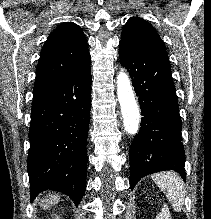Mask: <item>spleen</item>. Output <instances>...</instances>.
<instances>
[{
  "label": "spleen",
  "mask_w": 211,
  "mask_h": 219,
  "mask_svg": "<svg viewBox=\"0 0 211 219\" xmlns=\"http://www.w3.org/2000/svg\"><path fill=\"white\" fill-rule=\"evenodd\" d=\"M155 184L163 191L175 211L182 210L185 190L183 180L173 172H163L152 176Z\"/></svg>",
  "instance_id": "1"
}]
</instances>
